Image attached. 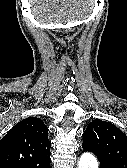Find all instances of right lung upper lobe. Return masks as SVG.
<instances>
[{
    "instance_id": "1",
    "label": "right lung upper lobe",
    "mask_w": 127,
    "mask_h": 168,
    "mask_svg": "<svg viewBox=\"0 0 127 168\" xmlns=\"http://www.w3.org/2000/svg\"><path fill=\"white\" fill-rule=\"evenodd\" d=\"M50 147L48 128L43 121L26 118L0 140V168L44 166L50 161Z\"/></svg>"
}]
</instances>
